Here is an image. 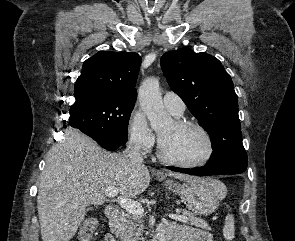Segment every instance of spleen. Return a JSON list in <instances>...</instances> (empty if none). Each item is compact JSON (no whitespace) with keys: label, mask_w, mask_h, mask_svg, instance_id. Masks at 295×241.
<instances>
[{"label":"spleen","mask_w":295,"mask_h":241,"mask_svg":"<svg viewBox=\"0 0 295 241\" xmlns=\"http://www.w3.org/2000/svg\"><path fill=\"white\" fill-rule=\"evenodd\" d=\"M235 235L234 216L228 214L225 218V224L223 227V236L227 241H232Z\"/></svg>","instance_id":"1"}]
</instances>
